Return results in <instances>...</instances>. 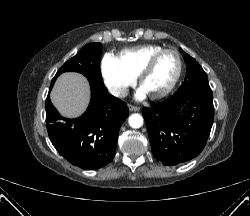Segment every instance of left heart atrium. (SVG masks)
<instances>
[{
  "label": "left heart atrium",
  "mask_w": 250,
  "mask_h": 216,
  "mask_svg": "<svg viewBox=\"0 0 250 216\" xmlns=\"http://www.w3.org/2000/svg\"><path fill=\"white\" fill-rule=\"evenodd\" d=\"M148 94L146 91L141 87L137 92H136V98L137 99H144Z\"/></svg>",
  "instance_id": "39dd6f15"
}]
</instances>
